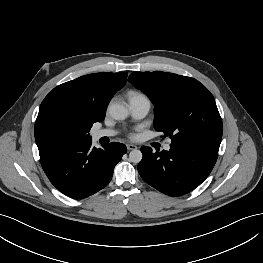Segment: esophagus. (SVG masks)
<instances>
[{"label": "esophagus", "instance_id": "esophagus-1", "mask_svg": "<svg viewBox=\"0 0 263 263\" xmlns=\"http://www.w3.org/2000/svg\"><path fill=\"white\" fill-rule=\"evenodd\" d=\"M126 146H127V149H128L129 151H130V150H135V149H137V146L134 145V144H127Z\"/></svg>", "mask_w": 263, "mask_h": 263}]
</instances>
